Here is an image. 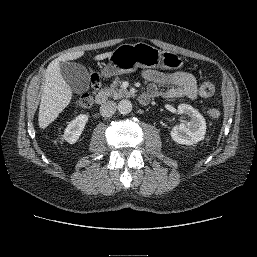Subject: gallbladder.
Here are the masks:
<instances>
[{
    "instance_id": "1",
    "label": "gallbladder",
    "mask_w": 257,
    "mask_h": 257,
    "mask_svg": "<svg viewBox=\"0 0 257 257\" xmlns=\"http://www.w3.org/2000/svg\"><path fill=\"white\" fill-rule=\"evenodd\" d=\"M60 72L75 93H82L89 89V73L83 65L75 62H62L60 63Z\"/></svg>"
}]
</instances>
